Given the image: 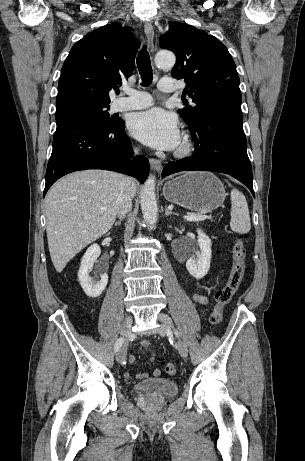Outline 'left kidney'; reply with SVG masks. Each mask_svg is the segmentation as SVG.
<instances>
[{"label": "left kidney", "mask_w": 305, "mask_h": 461, "mask_svg": "<svg viewBox=\"0 0 305 461\" xmlns=\"http://www.w3.org/2000/svg\"><path fill=\"white\" fill-rule=\"evenodd\" d=\"M197 245L190 249L186 268L191 276L196 279L203 278L210 269L211 262V239L200 229L197 230Z\"/></svg>", "instance_id": "left-kidney-1"}]
</instances>
